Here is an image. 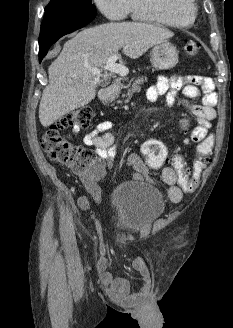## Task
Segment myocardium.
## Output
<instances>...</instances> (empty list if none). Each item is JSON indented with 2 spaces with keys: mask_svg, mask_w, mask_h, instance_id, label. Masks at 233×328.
<instances>
[{
  "mask_svg": "<svg viewBox=\"0 0 233 328\" xmlns=\"http://www.w3.org/2000/svg\"><path fill=\"white\" fill-rule=\"evenodd\" d=\"M178 9L183 14H191L192 16H195L197 12V5L195 0H182V2L178 5Z\"/></svg>",
  "mask_w": 233,
  "mask_h": 328,
  "instance_id": "myocardium-1",
  "label": "myocardium"
}]
</instances>
